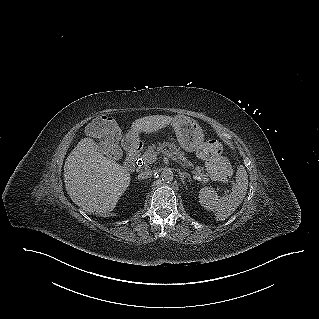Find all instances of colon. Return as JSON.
<instances>
[{
    "mask_svg": "<svg viewBox=\"0 0 319 319\" xmlns=\"http://www.w3.org/2000/svg\"><path fill=\"white\" fill-rule=\"evenodd\" d=\"M85 132L89 136L103 139L102 148L105 151H111V157L114 160H121L124 157V150L116 147L122 140L120 129L108 116L97 119L92 125L86 127ZM222 150V145L217 139L208 140L200 148L210 175L218 181L225 182L230 177V168Z\"/></svg>",
    "mask_w": 319,
    "mask_h": 319,
    "instance_id": "5ec220e1",
    "label": "colon"
}]
</instances>
